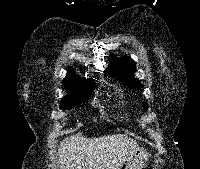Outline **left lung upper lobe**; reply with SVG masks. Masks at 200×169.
<instances>
[{"mask_svg": "<svg viewBox=\"0 0 200 169\" xmlns=\"http://www.w3.org/2000/svg\"><path fill=\"white\" fill-rule=\"evenodd\" d=\"M109 67L105 70L106 74L115 76L123 81L130 88H141L143 85L134 78L135 62L130 58L123 56L120 60L115 55L109 57ZM144 108L147 110V103H144Z\"/></svg>", "mask_w": 200, "mask_h": 169, "instance_id": "obj_1", "label": "left lung upper lobe"}]
</instances>
